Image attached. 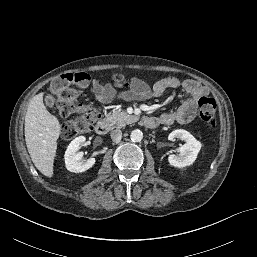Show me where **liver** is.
<instances>
[{
	"instance_id": "liver-1",
	"label": "liver",
	"mask_w": 257,
	"mask_h": 257,
	"mask_svg": "<svg viewBox=\"0 0 257 257\" xmlns=\"http://www.w3.org/2000/svg\"><path fill=\"white\" fill-rule=\"evenodd\" d=\"M24 129L27 149L35 167L45 176L52 177L61 124L46 109L43 93L31 99L25 116Z\"/></svg>"
}]
</instances>
